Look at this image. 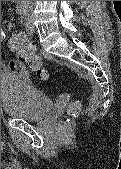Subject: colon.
Returning a JSON list of instances; mask_svg holds the SVG:
<instances>
[{
    "label": "colon",
    "instance_id": "obj_1",
    "mask_svg": "<svg viewBox=\"0 0 121 169\" xmlns=\"http://www.w3.org/2000/svg\"><path fill=\"white\" fill-rule=\"evenodd\" d=\"M8 45L16 53L18 61L27 65L32 71H35L39 78L46 79L48 77L47 69L43 65L41 57L35 53L33 45L28 43L23 36L13 34L8 41ZM64 131L65 127L61 126L59 133L63 134Z\"/></svg>",
    "mask_w": 121,
    "mask_h": 169
}]
</instances>
